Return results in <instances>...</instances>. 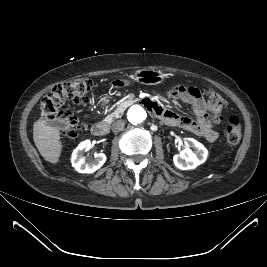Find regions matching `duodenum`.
<instances>
[{
	"instance_id": "duodenum-1",
	"label": "duodenum",
	"mask_w": 267,
	"mask_h": 267,
	"mask_svg": "<svg viewBox=\"0 0 267 267\" xmlns=\"http://www.w3.org/2000/svg\"><path fill=\"white\" fill-rule=\"evenodd\" d=\"M108 132V125L104 122H97L91 127V133L94 136L100 137L106 135Z\"/></svg>"
}]
</instances>
